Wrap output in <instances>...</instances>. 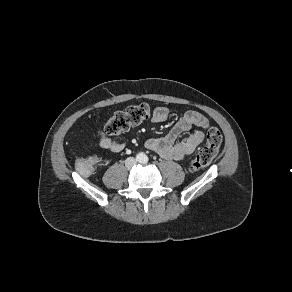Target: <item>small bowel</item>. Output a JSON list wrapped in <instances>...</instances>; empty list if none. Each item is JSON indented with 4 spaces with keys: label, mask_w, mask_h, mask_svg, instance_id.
Returning <instances> with one entry per match:
<instances>
[{
    "label": "small bowel",
    "mask_w": 292,
    "mask_h": 292,
    "mask_svg": "<svg viewBox=\"0 0 292 292\" xmlns=\"http://www.w3.org/2000/svg\"><path fill=\"white\" fill-rule=\"evenodd\" d=\"M168 116V108L157 107L153 111L152 121L161 123L166 121ZM208 127L209 122L202 114L197 111H187L165 136L149 139L146 142V147L164 159L182 160L203 143L204 132ZM189 130L193 131L186 139L176 142L181 133ZM99 145L113 153H120L125 149L123 142L113 140L104 132H100Z\"/></svg>",
    "instance_id": "obj_1"
}]
</instances>
